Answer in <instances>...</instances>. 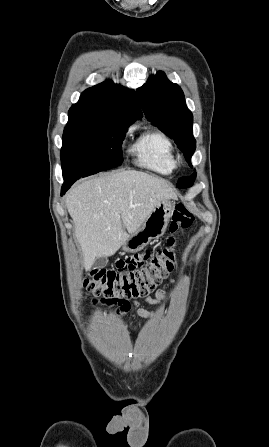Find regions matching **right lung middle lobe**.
<instances>
[{"label":"right lung middle lobe","instance_id":"1","mask_svg":"<svg viewBox=\"0 0 269 447\" xmlns=\"http://www.w3.org/2000/svg\"><path fill=\"white\" fill-rule=\"evenodd\" d=\"M132 123L69 118L61 149L62 166L105 171L122 164L121 144Z\"/></svg>","mask_w":269,"mask_h":447}]
</instances>
